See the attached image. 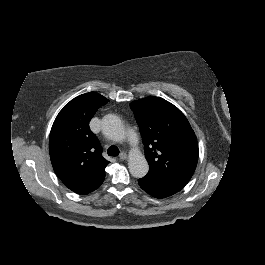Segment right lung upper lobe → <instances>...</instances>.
Wrapping results in <instances>:
<instances>
[{"mask_svg": "<svg viewBox=\"0 0 265 265\" xmlns=\"http://www.w3.org/2000/svg\"><path fill=\"white\" fill-rule=\"evenodd\" d=\"M109 100L96 92L71 100L57 115L49 137V152L56 175L70 190L88 194L98 188L109 164L90 131L89 122Z\"/></svg>", "mask_w": 265, "mask_h": 265, "instance_id": "1", "label": "right lung upper lobe"}]
</instances>
